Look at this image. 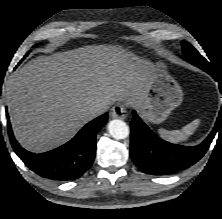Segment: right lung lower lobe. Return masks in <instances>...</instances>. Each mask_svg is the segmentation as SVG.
<instances>
[{
	"mask_svg": "<svg viewBox=\"0 0 222 219\" xmlns=\"http://www.w3.org/2000/svg\"><path fill=\"white\" fill-rule=\"evenodd\" d=\"M107 120L105 113L85 125L66 144L41 154L28 152L18 144L9 119L7 127L13 149L28 168L42 177L65 181L79 178L90 168L96 154V134Z\"/></svg>",
	"mask_w": 222,
	"mask_h": 219,
	"instance_id": "1",
	"label": "right lung lower lobe"
}]
</instances>
